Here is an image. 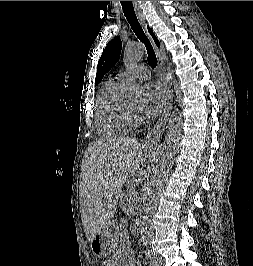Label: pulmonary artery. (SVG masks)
Segmentation results:
<instances>
[{
  "instance_id": "pulmonary-artery-1",
  "label": "pulmonary artery",
  "mask_w": 253,
  "mask_h": 266,
  "mask_svg": "<svg viewBox=\"0 0 253 266\" xmlns=\"http://www.w3.org/2000/svg\"><path fill=\"white\" fill-rule=\"evenodd\" d=\"M150 74L151 73L148 67L144 65H136L124 72H120L116 78L121 82H124L129 78L146 80L150 77Z\"/></svg>"
}]
</instances>
